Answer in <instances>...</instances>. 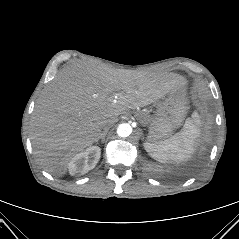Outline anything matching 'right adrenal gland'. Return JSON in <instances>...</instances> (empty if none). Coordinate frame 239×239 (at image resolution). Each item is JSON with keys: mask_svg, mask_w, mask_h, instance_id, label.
I'll use <instances>...</instances> for the list:
<instances>
[{"mask_svg": "<svg viewBox=\"0 0 239 239\" xmlns=\"http://www.w3.org/2000/svg\"><path fill=\"white\" fill-rule=\"evenodd\" d=\"M106 134H107V131L102 132L100 137L96 140V142H98L100 139H101L102 142H104Z\"/></svg>", "mask_w": 239, "mask_h": 239, "instance_id": "right-adrenal-gland-1", "label": "right adrenal gland"}]
</instances>
